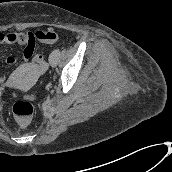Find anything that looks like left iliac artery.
<instances>
[{
	"instance_id": "left-iliac-artery-1",
	"label": "left iliac artery",
	"mask_w": 172,
	"mask_h": 172,
	"mask_svg": "<svg viewBox=\"0 0 172 172\" xmlns=\"http://www.w3.org/2000/svg\"><path fill=\"white\" fill-rule=\"evenodd\" d=\"M53 52H56L58 55L60 54V50L59 49H56Z\"/></svg>"
}]
</instances>
